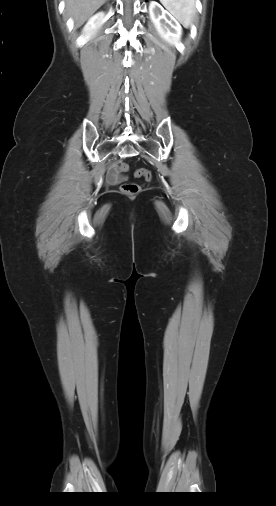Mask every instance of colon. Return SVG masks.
<instances>
[{
	"label": "colon",
	"mask_w": 276,
	"mask_h": 506,
	"mask_svg": "<svg viewBox=\"0 0 276 506\" xmlns=\"http://www.w3.org/2000/svg\"><path fill=\"white\" fill-rule=\"evenodd\" d=\"M116 169L120 173H126L129 170V166L126 163H119V164H117ZM135 175H136V177H143L148 181L152 179L151 172L147 169H144V168L138 169L136 171ZM121 190L123 193H125L127 195L134 196L139 193L140 187L136 183L126 182V183L122 184Z\"/></svg>",
	"instance_id": "colon-1"
}]
</instances>
